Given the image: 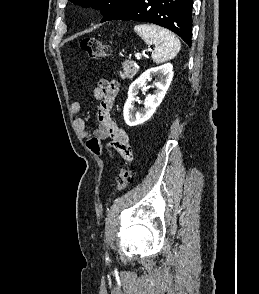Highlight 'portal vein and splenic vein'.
I'll return each instance as SVG.
<instances>
[{
    "instance_id": "obj_1",
    "label": "portal vein and splenic vein",
    "mask_w": 259,
    "mask_h": 294,
    "mask_svg": "<svg viewBox=\"0 0 259 294\" xmlns=\"http://www.w3.org/2000/svg\"><path fill=\"white\" fill-rule=\"evenodd\" d=\"M141 56H142V55H141L140 53H136V54H135V57H136L137 59H140Z\"/></svg>"
}]
</instances>
